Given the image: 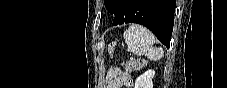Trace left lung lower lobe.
Wrapping results in <instances>:
<instances>
[{
    "mask_svg": "<svg viewBox=\"0 0 227 88\" xmlns=\"http://www.w3.org/2000/svg\"><path fill=\"white\" fill-rule=\"evenodd\" d=\"M176 0H119L113 25L137 23L151 30L167 48L174 25Z\"/></svg>",
    "mask_w": 227,
    "mask_h": 88,
    "instance_id": "left-lung-lower-lobe-1",
    "label": "left lung lower lobe"
}]
</instances>
